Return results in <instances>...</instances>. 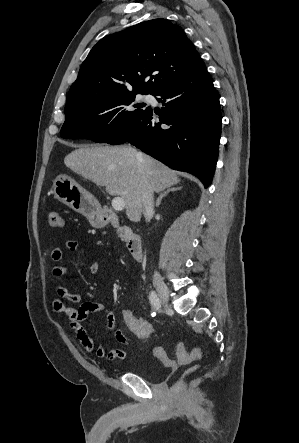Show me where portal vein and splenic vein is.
Masks as SVG:
<instances>
[{"label":"portal vein and splenic vein","instance_id":"1","mask_svg":"<svg viewBox=\"0 0 299 443\" xmlns=\"http://www.w3.org/2000/svg\"><path fill=\"white\" fill-rule=\"evenodd\" d=\"M112 207L116 211H122L125 208V201L121 197H115L112 200Z\"/></svg>","mask_w":299,"mask_h":443}]
</instances>
